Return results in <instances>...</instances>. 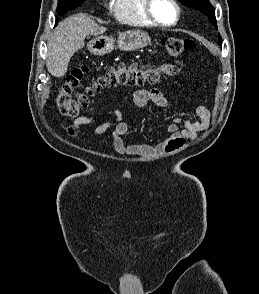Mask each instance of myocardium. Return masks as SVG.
<instances>
[{
  "mask_svg": "<svg viewBox=\"0 0 259 294\" xmlns=\"http://www.w3.org/2000/svg\"><path fill=\"white\" fill-rule=\"evenodd\" d=\"M176 12V17L175 20L172 23H164L161 22L160 20H158L156 18V16L153 13V2L154 0H144V13L146 15V17L155 25V26H159V27H163V28H169V27H173L175 25H177V23L180 20L181 17V11H180V7L179 4L176 0H169Z\"/></svg>",
  "mask_w": 259,
  "mask_h": 294,
  "instance_id": "1",
  "label": "myocardium"
}]
</instances>
